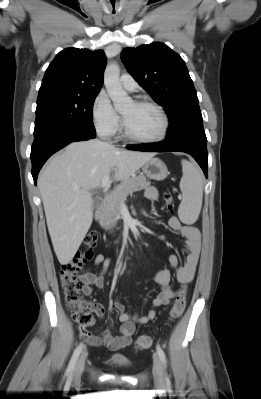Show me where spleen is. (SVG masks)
<instances>
[{"label": "spleen", "instance_id": "3e777b00", "mask_svg": "<svg viewBox=\"0 0 261 399\" xmlns=\"http://www.w3.org/2000/svg\"><path fill=\"white\" fill-rule=\"evenodd\" d=\"M183 176L180 181L182 202L178 216L185 224H193L198 219L203 199V176L201 171L189 161L182 160Z\"/></svg>", "mask_w": 261, "mask_h": 399}]
</instances>
